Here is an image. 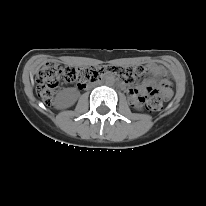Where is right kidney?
Instances as JSON below:
<instances>
[{"mask_svg": "<svg viewBox=\"0 0 206 206\" xmlns=\"http://www.w3.org/2000/svg\"><path fill=\"white\" fill-rule=\"evenodd\" d=\"M75 102V98L72 97L68 92H62L57 97V106L59 108L70 107Z\"/></svg>", "mask_w": 206, "mask_h": 206, "instance_id": "right-kidney-1", "label": "right kidney"}]
</instances>
